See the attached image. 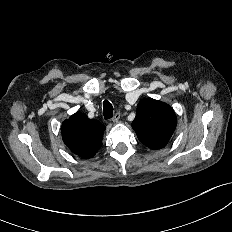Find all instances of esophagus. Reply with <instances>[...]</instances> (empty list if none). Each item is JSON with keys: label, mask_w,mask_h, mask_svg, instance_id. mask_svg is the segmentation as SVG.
<instances>
[{"label": "esophagus", "mask_w": 232, "mask_h": 232, "mask_svg": "<svg viewBox=\"0 0 232 232\" xmlns=\"http://www.w3.org/2000/svg\"><path fill=\"white\" fill-rule=\"evenodd\" d=\"M120 116L121 114L119 112H117L113 118H112V121L115 123V122H118V120L120 119Z\"/></svg>", "instance_id": "34e87169"}]
</instances>
